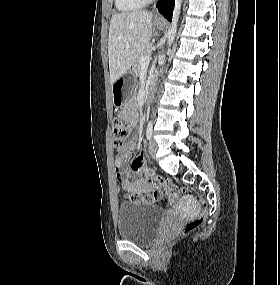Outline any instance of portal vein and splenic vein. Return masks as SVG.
I'll return each mask as SVG.
<instances>
[{
    "mask_svg": "<svg viewBox=\"0 0 280 285\" xmlns=\"http://www.w3.org/2000/svg\"><path fill=\"white\" fill-rule=\"evenodd\" d=\"M149 62H150V55L143 56L140 59V63H141L142 66H148Z\"/></svg>",
    "mask_w": 280,
    "mask_h": 285,
    "instance_id": "1",
    "label": "portal vein and splenic vein"
}]
</instances>
